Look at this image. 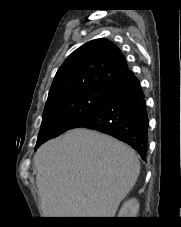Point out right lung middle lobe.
<instances>
[{
  "label": "right lung middle lobe",
  "mask_w": 181,
  "mask_h": 227,
  "mask_svg": "<svg viewBox=\"0 0 181 227\" xmlns=\"http://www.w3.org/2000/svg\"><path fill=\"white\" fill-rule=\"evenodd\" d=\"M109 93L110 88L92 90L62 97L47 105L44 108L36 148L92 116L102 107Z\"/></svg>",
  "instance_id": "obj_1"
}]
</instances>
